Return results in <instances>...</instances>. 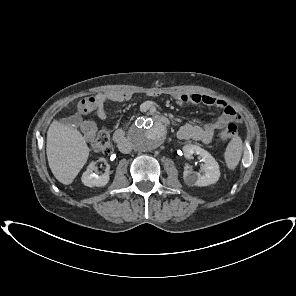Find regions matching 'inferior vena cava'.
<instances>
[{
  "label": "inferior vena cava",
  "mask_w": 296,
  "mask_h": 296,
  "mask_svg": "<svg viewBox=\"0 0 296 296\" xmlns=\"http://www.w3.org/2000/svg\"><path fill=\"white\" fill-rule=\"evenodd\" d=\"M119 149L121 152L126 153L131 150V145L128 142L125 143V145H124V143H121V144H119Z\"/></svg>",
  "instance_id": "1"
}]
</instances>
